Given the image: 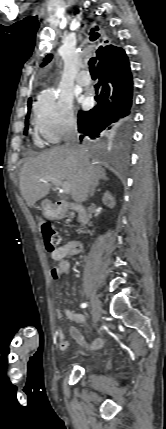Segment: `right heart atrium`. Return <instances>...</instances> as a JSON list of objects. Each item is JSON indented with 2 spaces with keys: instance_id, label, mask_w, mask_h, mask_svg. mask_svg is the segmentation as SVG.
I'll return each mask as SVG.
<instances>
[{
  "instance_id": "obj_1",
  "label": "right heart atrium",
  "mask_w": 166,
  "mask_h": 429,
  "mask_svg": "<svg viewBox=\"0 0 166 429\" xmlns=\"http://www.w3.org/2000/svg\"><path fill=\"white\" fill-rule=\"evenodd\" d=\"M33 125L36 133L49 143L71 134L77 126L71 98L56 89L42 93L34 105Z\"/></svg>"
}]
</instances>
